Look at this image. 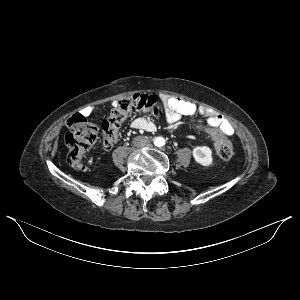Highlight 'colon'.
I'll list each match as a JSON object with an SVG mask.
<instances>
[{"label": "colon", "instance_id": "obj_1", "mask_svg": "<svg viewBox=\"0 0 300 300\" xmlns=\"http://www.w3.org/2000/svg\"><path fill=\"white\" fill-rule=\"evenodd\" d=\"M161 110L162 106L156 95L138 93L116 101L109 117L101 125L103 145L110 148L116 143L119 130L130 113L139 111L159 116ZM67 126L69 128L65 137L67 162L73 169L83 170L84 156L97 139V127L81 115L69 118ZM197 126L202 128L203 121L197 120ZM210 134L216 141L218 156L224 160L230 159L233 155L231 142L217 130L211 129Z\"/></svg>", "mask_w": 300, "mask_h": 300}]
</instances>
